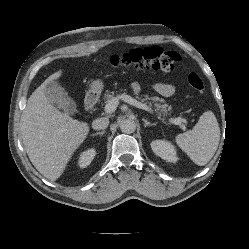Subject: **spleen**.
I'll list each match as a JSON object with an SVG mask.
<instances>
[{
	"label": "spleen",
	"mask_w": 249,
	"mask_h": 249,
	"mask_svg": "<svg viewBox=\"0 0 249 249\" xmlns=\"http://www.w3.org/2000/svg\"><path fill=\"white\" fill-rule=\"evenodd\" d=\"M175 141L195 164H207L214 156L220 141V128L214 113L204 112L193 129L178 134Z\"/></svg>",
	"instance_id": "1"
}]
</instances>
